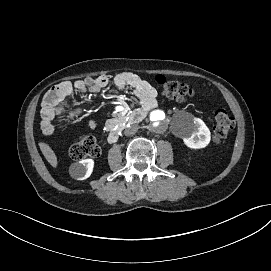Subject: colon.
I'll return each instance as SVG.
<instances>
[{"mask_svg":"<svg viewBox=\"0 0 271 271\" xmlns=\"http://www.w3.org/2000/svg\"><path fill=\"white\" fill-rule=\"evenodd\" d=\"M155 81L161 87L163 96L170 100L182 102L194 96L193 90L185 84L169 81L163 76H157ZM234 126V118L225 110H218L214 117L213 141L217 144L222 143ZM69 154L74 160L95 158L100 155V147L92 136H86L70 147Z\"/></svg>","mask_w":271,"mask_h":271,"instance_id":"5ec220e1","label":"colon"}]
</instances>
